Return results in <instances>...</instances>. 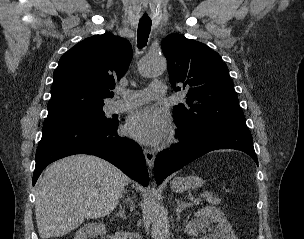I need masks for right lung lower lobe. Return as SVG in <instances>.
I'll list each match as a JSON object with an SVG mask.
<instances>
[{"mask_svg":"<svg viewBox=\"0 0 304 239\" xmlns=\"http://www.w3.org/2000/svg\"><path fill=\"white\" fill-rule=\"evenodd\" d=\"M119 121L108 124H72L43 128L36 151L33 185L53 161L73 154H91L114 164L130 178L147 186L146 162L141 147L117 134Z\"/></svg>","mask_w":304,"mask_h":239,"instance_id":"98d812e1","label":"right lung lower lobe"}]
</instances>
